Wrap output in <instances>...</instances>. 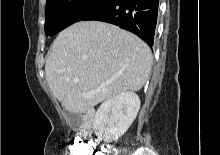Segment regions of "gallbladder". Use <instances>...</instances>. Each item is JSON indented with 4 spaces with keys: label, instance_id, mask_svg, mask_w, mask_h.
Returning a JSON list of instances; mask_svg holds the SVG:
<instances>
[{
    "label": "gallbladder",
    "instance_id": "bac80fb5",
    "mask_svg": "<svg viewBox=\"0 0 220 155\" xmlns=\"http://www.w3.org/2000/svg\"><path fill=\"white\" fill-rule=\"evenodd\" d=\"M66 114H67V117L70 121V124H71L72 128L77 129L76 122L79 119L78 115H76L74 113H71V112H68V111H67Z\"/></svg>",
    "mask_w": 220,
    "mask_h": 155
}]
</instances>
